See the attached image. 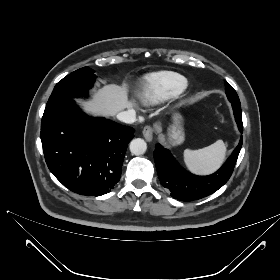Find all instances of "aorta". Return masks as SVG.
Wrapping results in <instances>:
<instances>
[{
    "instance_id": "1",
    "label": "aorta",
    "mask_w": 280,
    "mask_h": 280,
    "mask_svg": "<svg viewBox=\"0 0 280 280\" xmlns=\"http://www.w3.org/2000/svg\"><path fill=\"white\" fill-rule=\"evenodd\" d=\"M129 148L133 155L139 156L146 152L147 144L143 139L136 138L130 142Z\"/></svg>"
}]
</instances>
